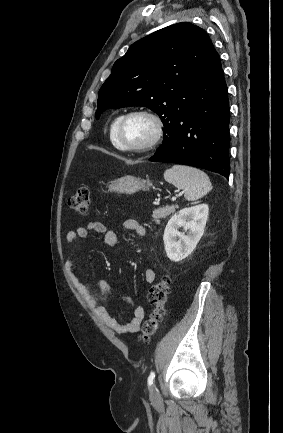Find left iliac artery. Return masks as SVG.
<instances>
[{
	"mask_svg": "<svg viewBox=\"0 0 283 433\" xmlns=\"http://www.w3.org/2000/svg\"><path fill=\"white\" fill-rule=\"evenodd\" d=\"M155 379V372H151L148 377V385L151 386L153 384V381Z\"/></svg>",
	"mask_w": 283,
	"mask_h": 433,
	"instance_id": "left-iliac-artery-1",
	"label": "left iliac artery"
}]
</instances>
